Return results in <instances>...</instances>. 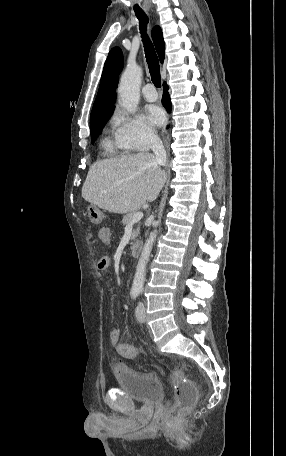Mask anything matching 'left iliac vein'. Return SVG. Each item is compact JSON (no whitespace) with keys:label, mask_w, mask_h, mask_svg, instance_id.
Wrapping results in <instances>:
<instances>
[{"label":"left iliac vein","mask_w":286,"mask_h":456,"mask_svg":"<svg viewBox=\"0 0 286 456\" xmlns=\"http://www.w3.org/2000/svg\"><path fill=\"white\" fill-rule=\"evenodd\" d=\"M135 314H136V318L138 321H140V322L145 321L146 310H145V306H144L143 302L138 303Z\"/></svg>","instance_id":"left-iliac-vein-1"}]
</instances>
